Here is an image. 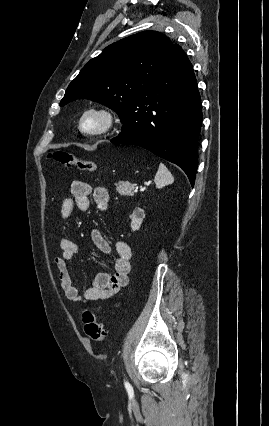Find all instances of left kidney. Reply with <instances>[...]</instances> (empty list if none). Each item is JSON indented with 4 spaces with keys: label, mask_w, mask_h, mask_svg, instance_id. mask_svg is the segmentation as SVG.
<instances>
[{
    "label": "left kidney",
    "mask_w": 269,
    "mask_h": 426,
    "mask_svg": "<svg viewBox=\"0 0 269 426\" xmlns=\"http://www.w3.org/2000/svg\"><path fill=\"white\" fill-rule=\"evenodd\" d=\"M131 218V228L133 231L138 230L140 228V225L145 218V212L141 208H135Z\"/></svg>",
    "instance_id": "left-kidney-1"
}]
</instances>
